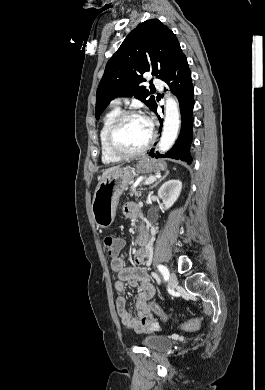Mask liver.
<instances>
[{
    "instance_id": "1",
    "label": "liver",
    "mask_w": 265,
    "mask_h": 390,
    "mask_svg": "<svg viewBox=\"0 0 265 390\" xmlns=\"http://www.w3.org/2000/svg\"><path fill=\"white\" fill-rule=\"evenodd\" d=\"M119 168H120V165H118V166H113V167H110V168L106 169V170L103 172L102 177L99 179V180H100L99 184L101 183V181H102L107 175H109L110 173L116 171V170L119 169ZM99 184H98V185H99ZM97 187H98V186H97ZM96 190H97V188H96ZM96 190H95V192H96Z\"/></svg>"
}]
</instances>
